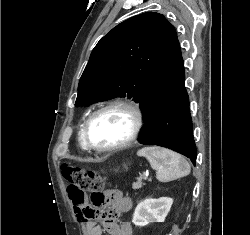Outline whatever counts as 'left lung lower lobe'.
Listing matches in <instances>:
<instances>
[{
  "label": "left lung lower lobe",
  "mask_w": 250,
  "mask_h": 235,
  "mask_svg": "<svg viewBox=\"0 0 250 235\" xmlns=\"http://www.w3.org/2000/svg\"><path fill=\"white\" fill-rule=\"evenodd\" d=\"M184 81L183 59L177 40L140 100L145 125L139 141L174 150L195 165L196 146Z\"/></svg>",
  "instance_id": "0a47b994"
}]
</instances>
